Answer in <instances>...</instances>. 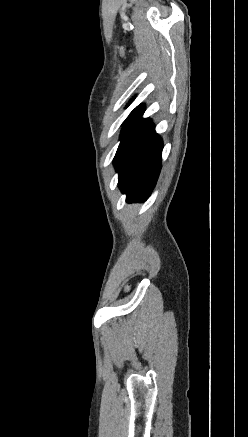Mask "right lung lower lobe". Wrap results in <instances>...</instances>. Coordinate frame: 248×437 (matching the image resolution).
Returning a JSON list of instances; mask_svg holds the SVG:
<instances>
[{"label":"right lung lower lobe","instance_id":"right-lung-lower-lobe-1","mask_svg":"<svg viewBox=\"0 0 248 437\" xmlns=\"http://www.w3.org/2000/svg\"><path fill=\"white\" fill-rule=\"evenodd\" d=\"M143 104L128 116L121 131V143L114 158L119 188L127 202L148 198L158 179L162 160V139L152 121L143 119Z\"/></svg>","mask_w":248,"mask_h":437}]
</instances>
